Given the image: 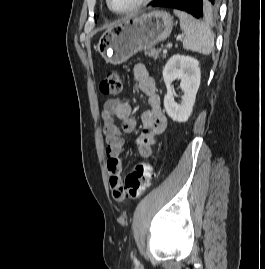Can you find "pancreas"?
Returning a JSON list of instances; mask_svg holds the SVG:
<instances>
[{
	"label": "pancreas",
	"instance_id": "obj_1",
	"mask_svg": "<svg viewBox=\"0 0 265 269\" xmlns=\"http://www.w3.org/2000/svg\"><path fill=\"white\" fill-rule=\"evenodd\" d=\"M146 55H148L149 57H153L154 59L157 58H166V53L163 52V54L161 53V49H150L149 51L145 52Z\"/></svg>",
	"mask_w": 265,
	"mask_h": 269
}]
</instances>
